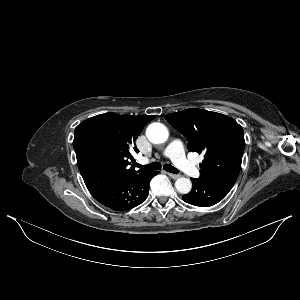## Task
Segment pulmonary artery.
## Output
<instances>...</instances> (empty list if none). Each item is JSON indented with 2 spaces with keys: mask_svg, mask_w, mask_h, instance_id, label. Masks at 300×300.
<instances>
[{
  "mask_svg": "<svg viewBox=\"0 0 300 300\" xmlns=\"http://www.w3.org/2000/svg\"><path fill=\"white\" fill-rule=\"evenodd\" d=\"M166 156H168L173 163L191 177H197L199 175V169L197 166L190 162L184 153L183 143L179 140H173L169 143L165 151ZM147 159H142V163H147Z\"/></svg>",
  "mask_w": 300,
  "mask_h": 300,
  "instance_id": "pulmonary-artery-1",
  "label": "pulmonary artery"
}]
</instances>
